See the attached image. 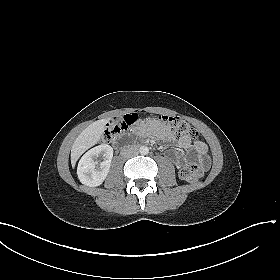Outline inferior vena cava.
Listing matches in <instances>:
<instances>
[{
	"mask_svg": "<svg viewBox=\"0 0 280 280\" xmlns=\"http://www.w3.org/2000/svg\"><path fill=\"white\" fill-rule=\"evenodd\" d=\"M139 153L138 149L135 146H127L121 151V155L129 158L133 155H137Z\"/></svg>",
	"mask_w": 280,
	"mask_h": 280,
	"instance_id": "1",
	"label": "inferior vena cava"
}]
</instances>
